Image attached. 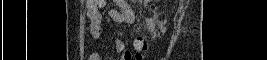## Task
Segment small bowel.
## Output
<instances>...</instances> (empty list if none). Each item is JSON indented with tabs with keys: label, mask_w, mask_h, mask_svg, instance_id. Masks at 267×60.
Instances as JSON below:
<instances>
[{
	"label": "small bowel",
	"mask_w": 267,
	"mask_h": 60,
	"mask_svg": "<svg viewBox=\"0 0 267 60\" xmlns=\"http://www.w3.org/2000/svg\"><path fill=\"white\" fill-rule=\"evenodd\" d=\"M119 9L111 10L109 17L118 23L132 24L134 22V12L130 5L123 0L115 1ZM104 0H89L87 2V17L90 21V35L97 41L101 40L103 34V22L100 9L104 6ZM115 49L121 55V60H131L132 56L129 51H125V43L122 39L115 41ZM89 60H101L98 51L90 54Z\"/></svg>",
	"instance_id": "small-bowel-1"
}]
</instances>
